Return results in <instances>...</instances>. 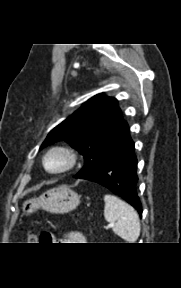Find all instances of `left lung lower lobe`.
I'll use <instances>...</instances> for the list:
<instances>
[{"mask_svg":"<svg viewBox=\"0 0 181 288\" xmlns=\"http://www.w3.org/2000/svg\"><path fill=\"white\" fill-rule=\"evenodd\" d=\"M134 142L127 125L125 133L118 144L99 162V164L81 179L96 182L122 197L142 215L136 184L137 158Z\"/></svg>","mask_w":181,"mask_h":288,"instance_id":"left-lung-lower-lobe-1","label":"left lung lower lobe"}]
</instances>
